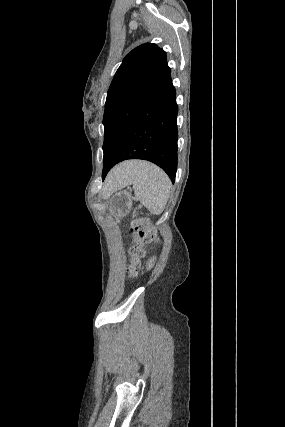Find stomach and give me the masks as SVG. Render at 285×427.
I'll use <instances>...</instances> for the list:
<instances>
[{
    "label": "stomach",
    "instance_id": "1",
    "mask_svg": "<svg viewBox=\"0 0 285 427\" xmlns=\"http://www.w3.org/2000/svg\"><path fill=\"white\" fill-rule=\"evenodd\" d=\"M131 193L128 190L117 189L110 193L109 212L114 218L127 215L132 207Z\"/></svg>",
    "mask_w": 285,
    "mask_h": 427
}]
</instances>
